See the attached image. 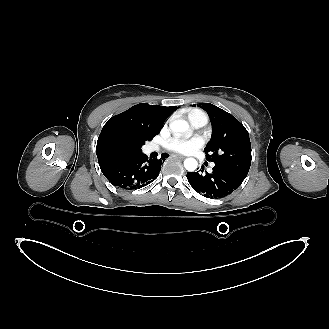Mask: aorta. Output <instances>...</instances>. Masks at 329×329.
I'll use <instances>...</instances> for the list:
<instances>
[{
  "label": "aorta",
  "instance_id": "obj_1",
  "mask_svg": "<svg viewBox=\"0 0 329 329\" xmlns=\"http://www.w3.org/2000/svg\"><path fill=\"white\" fill-rule=\"evenodd\" d=\"M170 129L174 133H183L189 130V125L185 120H175L170 123ZM189 133L188 135H190ZM198 162L194 158H187L184 160V167L187 171L193 172L197 169Z\"/></svg>",
  "mask_w": 329,
  "mask_h": 329
}]
</instances>
